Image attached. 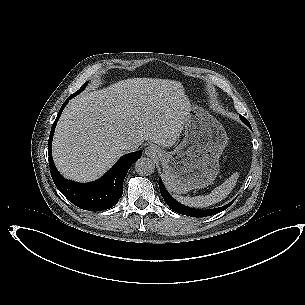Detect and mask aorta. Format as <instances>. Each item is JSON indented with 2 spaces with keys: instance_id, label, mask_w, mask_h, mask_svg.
Here are the masks:
<instances>
[{
  "instance_id": "obj_1",
  "label": "aorta",
  "mask_w": 305,
  "mask_h": 305,
  "mask_svg": "<svg viewBox=\"0 0 305 305\" xmlns=\"http://www.w3.org/2000/svg\"><path fill=\"white\" fill-rule=\"evenodd\" d=\"M135 171L140 175H151L155 171V163L146 157H141L135 162Z\"/></svg>"
}]
</instances>
